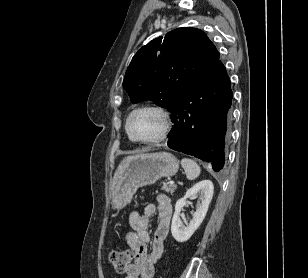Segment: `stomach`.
Returning a JSON list of instances; mask_svg holds the SVG:
<instances>
[{"label": "stomach", "instance_id": "stomach-1", "mask_svg": "<svg viewBox=\"0 0 308 278\" xmlns=\"http://www.w3.org/2000/svg\"><path fill=\"white\" fill-rule=\"evenodd\" d=\"M179 162L168 152L139 153L124 158L112 179V206L125 207L137 189L177 173Z\"/></svg>", "mask_w": 308, "mask_h": 278}]
</instances>
